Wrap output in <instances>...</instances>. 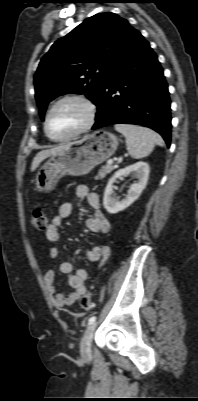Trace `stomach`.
I'll return each instance as SVG.
<instances>
[{
  "instance_id": "0dacf381",
  "label": "stomach",
  "mask_w": 198,
  "mask_h": 401,
  "mask_svg": "<svg viewBox=\"0 0 198 401\" xmlns=\"http://www.w3.org/2000/svg\"><path fill=\"white\" fill-rule=\"evenodd\" d=\"M119 141L116 135L98 130L64 147L44 163L36 175L39 192H49L65 175L82 176L89 173L114 154Z\"/></svg>"
}]
</instances>
